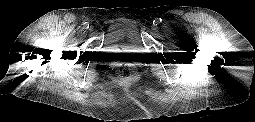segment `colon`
Wrapping results in <instances>:
<instances>
[{"instance_id": "colon-1", "label": "colon", "mask_w": 255, "mask_h": 122, "mask_svg": "<svg viewBox=\"0 0 255 122\" xmlns=\"http://www.w3.org/2000/svg\"><path fill=\"white\" fill-rule=\"evenodd\" d=\"M118 74L123 80H133L136 75V69L135 67L130 63H123L118 68Z\"/></svg>"}]
</instances>
